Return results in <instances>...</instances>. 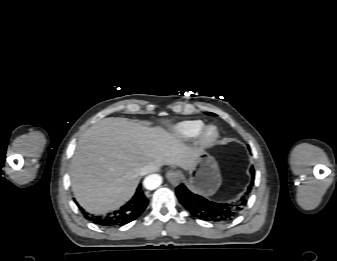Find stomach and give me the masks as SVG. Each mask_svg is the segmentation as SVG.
Listing matches in <instances>:
<instances>
[{
	"label": "stomach",
	"mask_w": 337,
	"mask_h": 261,
	"mask_svg": "<svg viewBox=\"0 0 337 261\" xmlns=\"http://www.w3.org/2000/svg\"><path fill=\"white\" fill-rule=\"evenodd\" d=\"M188 187L205 196L213 195L221 185V175L214 157L200 150L195 166L188 170Z\"/></svg>",
	"instance_id": "1"
}]
</instances>
